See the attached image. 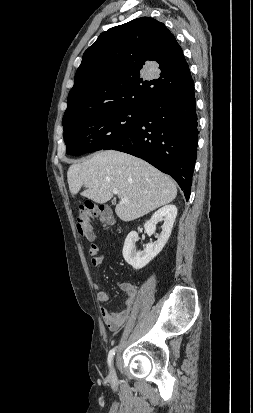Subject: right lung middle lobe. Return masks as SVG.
Listing matches in <instances>:
<instances>
[{"label": "right lung middle lobe", "mask_w": 253, "mask_h": 413, "mask_svg": "<svg viewBox=\"0 0 253 413\" xmlns=\"http://www.w3.org/2000/svg\"><path fill=\"white\" fill-rule=\"evenodd\" d=\"M140 118L141 109L117 108L70 121L63 125L66 153L78 156L113 145L135 128Z\"/></svg>", "instance_id": "right-lung-middle-lobe-1"}]
</instances>
